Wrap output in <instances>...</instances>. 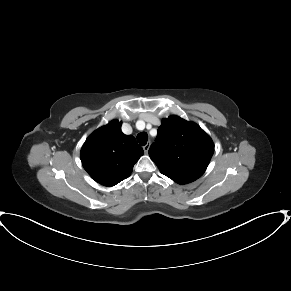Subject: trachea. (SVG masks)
<instances>
[{"label": "trachea", "mask_w": 291, "mask_h": 291, "mask_svg": "<svg viewBox=\"0 0 291 291\" xmlns=\"http://www.w3.org/2000/svg\"><path fill=\"white\" fill-rule=\"evenodd\" d=\"M137 141L139 142L140 145L144 146L146 145L148 141V135L145 132H141L137 135Z\"/></svg>", "instance_id": "3493384b"}]
</instances>
